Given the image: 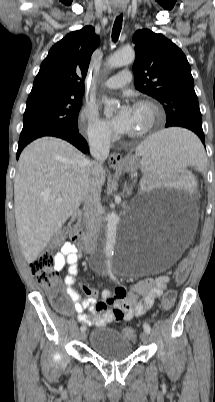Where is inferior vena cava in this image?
<instances>
[{
  "instance_id": "obj_1",
  "label": "inferior vena cava",
  "mask_w": 215,
  "mask_h": 402,
  "mask_svg": "<svg viewBox=\"0 0 215 402\" xmlns=\"http://www.w3.org/2000/svg\"><path fill=\"white\" fill-rule=\"evenodd\" d=\"M90 153L94 160L90 162V182L89 190L84 201V224L87 234L94 236L99 227V210L101 208L100 195V173L103 163L107 159L110 151V134L108 132L99 133L89 138Z\"/></svg>"
}]
</instances>
